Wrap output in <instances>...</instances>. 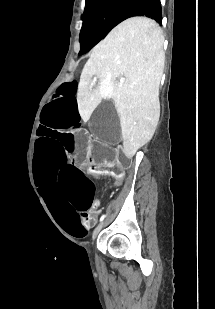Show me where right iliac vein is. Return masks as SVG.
<instances>
[{"instance_id": "right-iliac-vein-1", "label": "right iliac vein", "mask_w": 215, "mask_h": 309, "mask_svg": "<svg viewBox=\"0 0 215 309\" xmlns=\"http://www.w3.org/2000/svg\"><path fill=\"white\" fill-rule=\"evenodd\" d=\"M106 224V220L102 221L93 231L92 234V241H94L98 235V233L100 232V230L103 228V226Z\"/></svg>"}]
</instances>
